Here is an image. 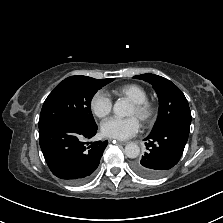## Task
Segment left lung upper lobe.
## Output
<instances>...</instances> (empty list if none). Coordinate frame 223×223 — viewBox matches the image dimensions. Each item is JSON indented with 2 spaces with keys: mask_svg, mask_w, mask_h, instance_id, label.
Instances as JSON below:
<instances>
[{
  "mask_svg": "<svg viewBox=\"0 0 223 223\" xmlns=\"http://www.w3.org/2000/svg\"><path fill=\"white\" fill-rule=\"evenodd\" d=\"M150 83L159 98V115L151 133L158 132L171 125L190 129L191 111L182 91L170 80L155 74L134 76Z\"/></svg>",
  "mask_w": 223,
  "mask_h": 223,
  "instance_id": "5c2ea615",
  "label": "left lung upper lobe"
}]
</instances>
